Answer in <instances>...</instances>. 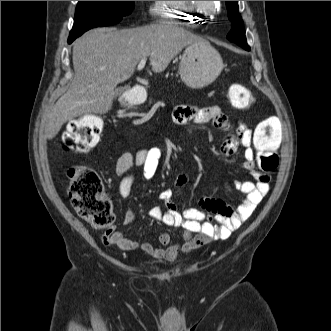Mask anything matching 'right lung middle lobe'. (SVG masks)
I'll use <instances>...</instances> for the list:
<instances>
[{"label": "right lung middle lobe", "mask_w": 331, "mask_h": 331, "mask_svg": "<svg viewBox=\"0 0 331 331\" xmlns=\"http://www.w3.org/2000/svg\"><path fill=\"white\" fill-rule=\"evenodd\" d=\"M133 8L134 1H78L68 40L73 41L94 27L114 25Z\"/></svg>", "instance_id": "obj_1"}]
</instances>
